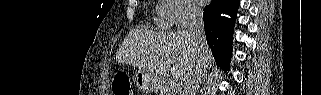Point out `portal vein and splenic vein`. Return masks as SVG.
<instances>
[{
  "label": "portal vein and splenic vein",
  "mask_w": 321,
  "mask_h": 95,
  "mask_svg": "<svg viewBox=\"0 0 321 95\" xmlns=\"http://www.w3.org/2000/svg\"><path fill=\"white\" fill-rule=\"evenodd\" d=\"M169 85H170L171 87H176V86H178L177 78H176V77L171 78L170 81H169Z\"/></svg>",
  "instance_id": "obj_1"
}]
</instances>
